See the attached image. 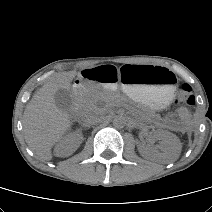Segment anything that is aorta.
<instances>
[{"mask_svg": "<svg viewBox=\"0 0 212 212\" xmlns=\"http://www.w3.org/2000/svg\"><path fill=\"white\" fill-rule=\"evenodd\" d=\"M112 122L115 128H123L126 125V119L122 115H116Z\"/></svg>", "mask_w": 212, "mask_h": 212, "instance_id": "762f6f07", "label": "aorta"}]
</instances>
